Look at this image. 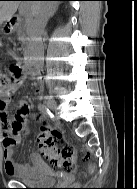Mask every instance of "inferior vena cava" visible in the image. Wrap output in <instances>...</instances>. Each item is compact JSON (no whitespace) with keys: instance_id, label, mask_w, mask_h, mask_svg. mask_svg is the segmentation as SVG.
Masks as SVG:
<instances>
[{"instance_id":"602c4592","label":"inferior vena cava","mask_w":137,"mask_h":189,"mask_svg":"<svg viewBox=\"0 0 137 189\" xmlns=\"http://www.w3.org/2000/svg\"><path fill=\"white\" fill-rule=\"evenodd\" d=\"M44 3L47 4L36 13L35 19L33 20L32 25L30 27L32 52L35 58V65H42L44 48L40 38L44 32V28L47 24L48 18L50 17L55 8V2Z\"/></svg>"}]
</instances>
